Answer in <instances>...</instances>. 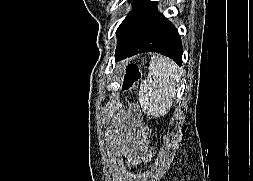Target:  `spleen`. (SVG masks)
<instances>
[{"label": "spleen", "mask_w": 253, "mask_h": 181, "mask_svg": "<svg viewBox=\"0 0 253 181\" xmlns=\"http://www.w3.org/2000/svg\"><path fill=\"white\" fill-rule=\"evenodd\" d=\"M179 76V69L173 61L160 55L151 57L148 76L139 91V102L146 114L160 117L168 113Z\"/></svg>", "instance_id": "1"}]
</instances>
